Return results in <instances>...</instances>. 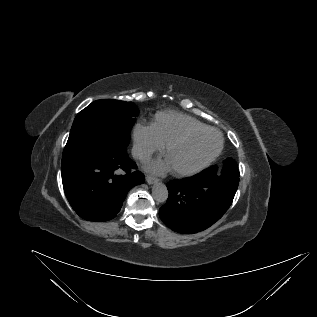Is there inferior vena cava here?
I'll use <instances>...</instances> for the list:
<instances>
[{
    "label": "inferior vena cava",
    "mask_w": 317,
    "mask_h": 317,
    "mask_svg": "<svg viewBox=\"0 0 317 317\" xmlns=\"http://www.w3.org/2000/svg\"><path fill=\"white\" fill-rule=\"evenodd\" d=\"M132 155L133 157H136L139 159H146L149 157V153L145 149L137 145L133 146Z\"/></svg>",
    "instance_id": "inferior-vena-cava-1"
}]
</instances>
